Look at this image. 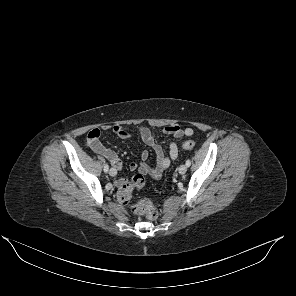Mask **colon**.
Returning <instances> with one entry per match:
<instances>
[{
  "label": "colon",
  "mask_w": 296,
  "mask_h": 296,
  "mask_svg": "<svg viewBox=\"0 0 296 296\" xmlns=\"http://www.w3.org/2000/svg\"><path fill=\"white\" fill-rule=\"evenodd\" d=\"M195 142L192 140L185 141L182 144L184 150H192ZM145 184V176L143 173L135 175L130 182L123 184L118 191V199L123 204H128L131 199L134 188H141ZM130 210L137 216H145L147 219H155L158 216V209L151 200L144 198L131 205Z\"/></svg>",
  "instance_id": "obj_1"
}]
</instances>
